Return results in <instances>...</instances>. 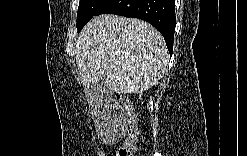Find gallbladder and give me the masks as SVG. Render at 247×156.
Wrapping results in <instances>:
<instances>
[{
  "label": "gallbladder",
  "mask_w": 247,
  "mask_h": 156,
  "mask_svg": "<svg viewBox=\"0 0 247 156\" xmlns=\"http://www.w3.org/2000/svg\"><path fill=\"white\" fill-rule=\"evenodd\" d=\"M104 90V91H102ZM90 91L97 94V93H106V94H111V90L106 86L104 85L102 82H99V83H95L93 84L91 87H90Z\"/></svg>",
  "instance_id": "1"
}]
</instances>
